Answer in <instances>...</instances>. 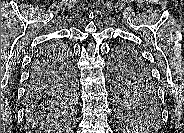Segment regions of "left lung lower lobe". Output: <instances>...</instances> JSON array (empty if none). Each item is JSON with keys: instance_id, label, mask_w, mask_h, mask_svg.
Returning a JSON list of instances; mask_svg holds the SVG:
<instances>
[{"instance_id": "obj_1", "label": "left lung lower lobe", "mask_w": 184, "mask_h": 133, "mask_svg": "<svg viewBox=\"0 0 184 133\" xmlns=\"http://www.w3.org/2000/svg\"><path fill=\"white\" fill-rule=\"evenodd\" d=\"M134 88L141 95L142 94H151L152 92H155V90L152 87L148 86L143 81L135 82Z\"/></svg>"}]
</instances>
